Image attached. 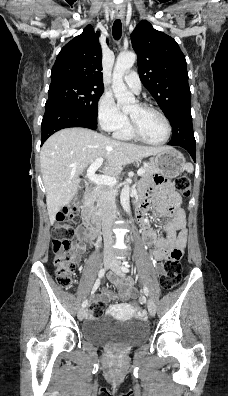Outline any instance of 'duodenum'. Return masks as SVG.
I'll return each instance as SVG.
<instances>
[{
  "label": "duodenum",
  "instance_id": "duodenum-1",
  "mask_svg": "<svg viewBox=\"0 0 228 396\" xmlns=\"http://www.w3.org/2000/svg\"><path fill=\"white\" fill-rule=\"evenodd\" d=\"M91 191L92 187H88L85 191V204L82 208V218L85 228L96 235L102 231V219L93 211Z\"/></svg>",
  "mask_w": 228,
  "mask_h": 396
}]
</instances>
